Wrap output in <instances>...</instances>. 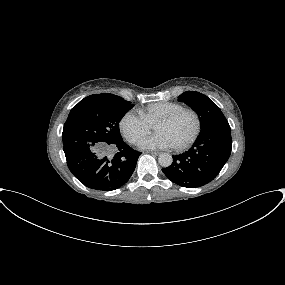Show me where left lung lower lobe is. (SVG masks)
<instances>
[{
  "label": "left lung lower lobe",
  "instance_id": "1",
  "mask_svg": "<svg viewBox=\"0 0 285 285\" xmlns=\"http://www.w3.org/2000/svg\"><path fill=\"white\" fill-rule=\"evenodd\" d=\"M231 147L230 126L204 128L190 150L173 156L172 164L162 172L182 187L203 186L219 174L230 156Z\"/></svg>",
  "mask_w": 285,
  "mask_h": 285
}]
</instances>
